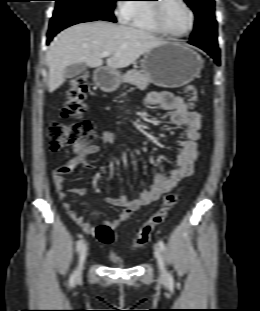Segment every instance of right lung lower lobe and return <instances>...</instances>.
<instances>
[{"label": "right lung lower lobe", "mask_w": 260, "mask_h": 311, "mask_svg": "<svg viewBox=\"0 0 260 311\" xmlns=\"http://www.w3.org/2000/svg\"><path fill=\"white\" fill-rule=\"evenodd\" d=\"M89 21H96V19L74 18V17H62L59 18L57 21L52 19L49 25L47 43H49L59 31L71 25Z\"/></svg>", "instance_id": "right-lung-lower-lobe-1"}]
</instances>
